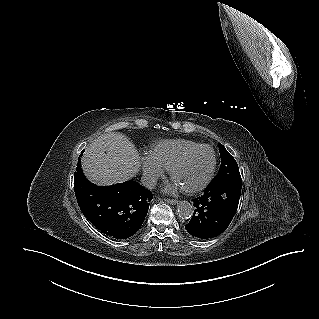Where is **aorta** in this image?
<instances>
[{"label":"aorta","instance_id":"obj_1","mask_svg":"<svg viewBox=\"0 0 319 319\" xmlns=\"http://www.w3.org/2000/svg\"><path fill=\"white\" fill-rule=\"evenodd\" d=\"M193 212V206L188 201H181L177 206V213L182 219L191 218Z\"/></svg>","mask_w":319,"mask_h":319}]
</instances>
